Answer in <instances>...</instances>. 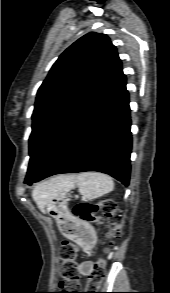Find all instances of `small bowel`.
Masks as SVG:
<instances>
[{
    "label": "small bowel",
    "instance_id": "1",
    "mask_svg": "<svg viewBox=\"0 0 170 293\" xmlns=\"http://www.w3.org/2000/svg\"><path fill=\"white\" fill-rule=\"evenodd\" d=\"M94 266H95V263L91 261H85L79 265V270L82 274L89 275L92 272Z\"/></svg>",
    "mask_w": 170,
    "mask_h": 293
}]
</instances>
